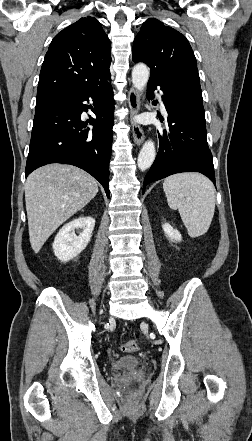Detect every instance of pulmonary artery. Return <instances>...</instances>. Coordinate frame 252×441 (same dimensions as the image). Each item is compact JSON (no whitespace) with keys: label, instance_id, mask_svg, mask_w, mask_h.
I'll return each instance as SVG.
<instances>
[{"label":"pulmonary artery","instance_id":"obj_1","mask_svg":"<svg viewBox=\"0 0 252 441\" xmlns=\"http://www.w3.org/2000/svg\"><path fill=\"white\" fill-rule=\"evenodd\" d=\"M157 96H158L159 99H160L161 109H162L163 111H165V106H164V104H163V102H162V100H161L160 94L157 93Z\"/></svg>","mask_w":252,"mask_h":441}]
</instances>
